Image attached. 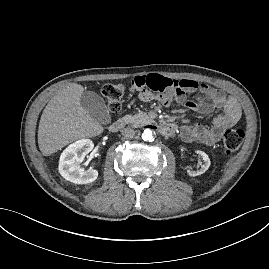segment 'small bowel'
I'll use <instances>...</instances> for the list:
<instances>
[{"mask_svg": "<svg viewBox=\"0 0 269 269\" xmlns=\"http://www.w3.org/2000/svg\"><path fill=\"white\" fill-rule=\"evenodd\" d=\"M132 90L139 93L141 100L148 102L156 99L166 105L176 102L184 104L191 111L210 114L222 109V114L214 118L211 126L197 123L181 128L180 136L185 142H198L206 145L216 144L223 132L234 126L241 117L238 103L222 91L192 79L176 80L164 75L137 76L132 80ZM198 92L197 101H187V94Z\"/></svg>", "mask_w": 269, "mask_h": 269, "instance_id": "small-bowel-1", "label": "small bowel"}]
</instances>
